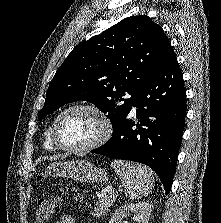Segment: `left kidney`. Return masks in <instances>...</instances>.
<instances>
[{"mask_svg":"<svg viewBox=\"0 0 221 223\" xmlns=\"http://www.w3.org/2000/svg\"><path fill=\"white\" fill-rule=\"evenodd\" d=\"M151 205L148 202L136 204H125L112 215L109 223H128L123 221L124 217L133 214V221L136 223H148L151 215Z\"/></svg>","mask_w":221,"mask_h":223,"instance_id":"1","label":"left kidney"}]
</instances>
